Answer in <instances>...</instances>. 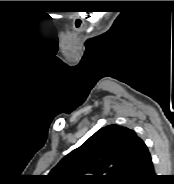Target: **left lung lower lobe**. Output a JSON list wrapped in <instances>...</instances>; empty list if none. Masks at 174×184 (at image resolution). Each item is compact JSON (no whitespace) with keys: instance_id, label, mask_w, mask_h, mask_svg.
<instances>
[{"instance_id":"1","label":"left lung lower lobe","mask_w":174,"mask_h":184,"mask_svg":"<svg viewBox=\"0 0 174 184\" xmlns=\"http://www.w3.org/2000/svg\"><path fill=\"white\" fill-rule=\"evenodd\" d=\"M155 178L150 153L143 141L130 165L127 179L123 184H151Z\"/></svg>"}]
</instances>
